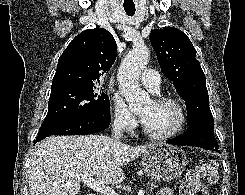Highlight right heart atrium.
Instances as JSON below:
<instances>
[{
  "mask_svg": "<svg viewBox=\"0 0 245 195\" xmlns=\"http://www.w3.org/2000/svg\"><path fill=\"white\" fill-rule=\"evenodd\" d=\"M111 120L116 128L128 132L137 125L136 117L119 95H114L111 98Z\"/></svg>",
  "mask_w": 245,
  "mask_h": 195,
  "instance_id": "right-heart-atrium-1",
  "label": "right heart atrium"
}]
</instances>
